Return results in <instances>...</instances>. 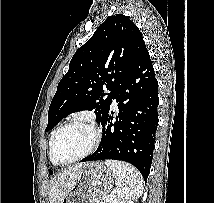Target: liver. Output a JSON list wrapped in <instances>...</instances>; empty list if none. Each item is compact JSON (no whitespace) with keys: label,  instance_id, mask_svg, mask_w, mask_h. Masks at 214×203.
Segmentation results:
<instances>
[{"label":"liver","instance_id":"liver-1","mask_svg":"<svg viewBox=\"0 0 214 203\" xmlns=\"http://www.w3.org/2000/svg\"><path fill=\"white\" fill-rule=\"evenodd\" d=\"M82 166V163L70 166L53 178L49 191V203H62L75 185Z\"/></svg>","mask_w":214,"mask_h":203}]
</instances>
